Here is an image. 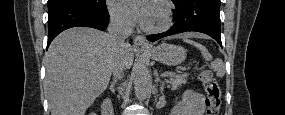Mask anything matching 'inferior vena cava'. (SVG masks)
Returning <instances> with one entry per match:
<instances>
[{
	"label": "inferior vena cava",
	"mask_w": 285,
	"mask_h": 115,
	"mask_svg": "<svg viewBox=\"0 0 285 115\" xmlns=\"http://www.w3.org/2000/svg\"><path fill=\"white\" fill-rule=\"evenodd\" d=\"M132 20L124 14H114L110 17V23L108 26V38L110 42L116 47L117 56L114 64L113 74L114 79H121L123 76L124 62H123V51L127 46L125 43L133 29Z\"/></svg>",
	"instance_id": "602c4592"
}]
</instances>
